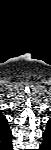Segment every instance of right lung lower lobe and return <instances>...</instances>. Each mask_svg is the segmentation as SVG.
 Returning <instances> with one entry per match:
<instances>
[{"label":"right lung lower lobe","mask_w":51,"mask_h":150,"mask_svg":"<svg viewBox=\"0 0 51 150\" xmlns=\"http://www.w3.org/2000/svg\"><path fill=\"white\" fill-rule=\"evenodd\" d=\"M5 150H12V142L5 148Z\"/></svg>","instance_id":"obj_1"}]
</instances>
